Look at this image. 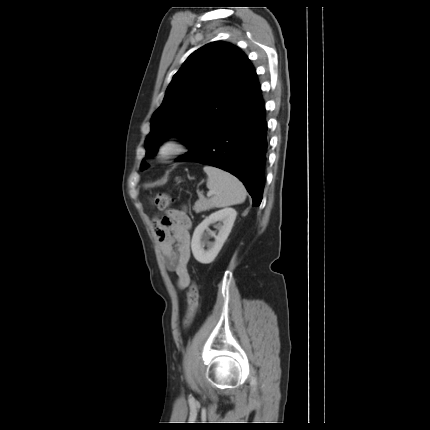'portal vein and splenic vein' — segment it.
Returning <instances> with one entry per match:
<instances>
[{"instance_id":"1","label":"portal vein and splenic vein","mask_w":430,"mask_h":430,"mask_svg":"<svg viewBox=\"0 0 430 430\" xmlns=\"http://www.w3.org/2000/svg\"><path fill=\"white\" fill-rule=\"evenodd\" d=\"M213 195V193L212 192H208L207 193V197H210V196H212Z\"/></svg>"}]
</instances>
